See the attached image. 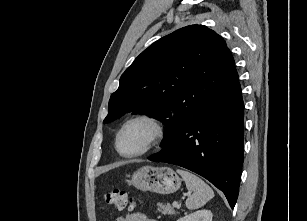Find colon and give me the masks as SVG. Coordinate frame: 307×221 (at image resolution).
Returning a JSON list of instances; mask_svg holds the SVG:
<instances>
[{"instance_id":"1","label":"colon","mask_w":307,"mask_h":221,"mask_svg":"<svg viewBox=\"0 0 307 221\" xmlns=\"http://www.w3.org/2000/svg\"><path fill=\"white\" fill-rule=\"evenodd\" d=\"M104 200L107 204L122 210L125 208L133 209L136 205L134 198L130 197L126 191L112 189L104 194Z\"/></svg>"}]
</instances>
